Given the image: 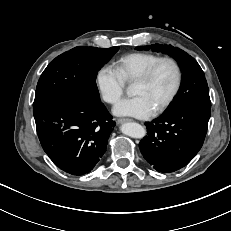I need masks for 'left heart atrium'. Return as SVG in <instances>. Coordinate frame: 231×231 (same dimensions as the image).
Listing matches in <instances>:
<instances>
[{
    "mask_svg": "<svg viewBox=\"0 0 231 231\" xmlns=\"http://www.w3.org/2000/svg\"><path fill=\"white\" fill-rule=\"evenodd\" d=\"M113 112L119 116H131L136 118H149L155 108L142 95H136L121 100L113 109Z\"/></svg>",
    "mask_w": 231,
    "mask_h": 231,
    "instance_id": "39dd6f15",
    "label": "left heart atrium"
}]
</instances>
